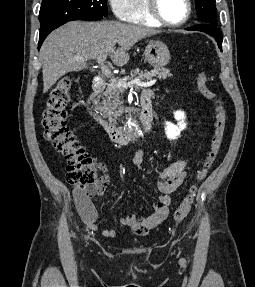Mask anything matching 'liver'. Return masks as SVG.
<instances>
[{
	"label": "liver",
	"instance_id": "liver-1",
	"mask_svg": "<svg viewBox=\"0 0 255 287\" xmlns=\"http://www.w3.org/2000/svg\"><path fill=\"white\" fill-rule=\"evenodd\" d=\"M159 34L158 30L121 24V22H68L46 38L41 50L40 60L43 66V94L51 86L68 74L85 68V60H94L101 54H111L115 66H126L129 62L127 50L148 38ZM119 48L115 52V46Z\"/></svg>",
	"mask_w": 255,
	"mask_h": 287
}]
</instances>
